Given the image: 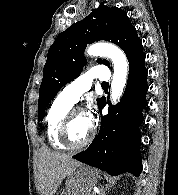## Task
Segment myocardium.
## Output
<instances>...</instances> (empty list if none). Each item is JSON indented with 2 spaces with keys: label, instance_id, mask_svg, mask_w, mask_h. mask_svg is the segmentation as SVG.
Listing matches in <instances>:
<instances>
[{
  "label": "myocardium",
  "instance_id": "1",
  "mask_svg": "<svg viewBox=\"0 0 178 195\" xmlns=\"http://www.w3.org/2000/svg\"><path fill=\"white\" fill-rule=\"evenodd\" d=\"M79 113H85V110L79 107L71 108L65 115L58 133L60 142L70 150H81L87 147L94 139L96 135V128L92 125V130L89 137L81 144H73L69 139V128L74 117Z\"/></svg>",
  "mask_w": 178,
  "mask_h": 195
}]
</instances>
